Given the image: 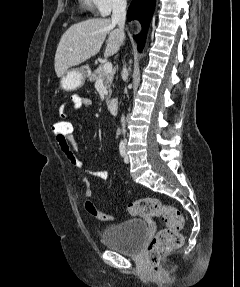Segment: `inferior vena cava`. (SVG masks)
<instances>
[{"label":"inferior vena cava","mask_w":240,"mask_h":287,"mask_svg":"<svg viewBox=\"0 0 240 287\" xmlns=\"http://www.w3.org/2000/svg\"><path fill=\"white\" fill-rule=\"evenodd\" d=\"M126 0H113V11H112V22L118 24V27L121 32V39L125 37L124 34V25L126 19ZM123 71H126V67L123 68ZM122 123V133L125 134V117H121Z\"/></svg>","instance_id":"1"}]
</instances>
